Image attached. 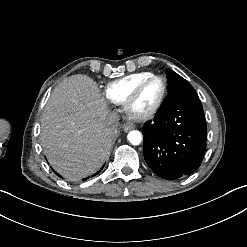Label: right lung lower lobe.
<instances>
[{
  "label": "right lung lower lobe",
  "instance_id": "right-lung-lower-lobe-1",
  "mask_svg": "<svg viewBox=\"0 0 247 247\" xmlns=\"http://www.w3.org/2000/svg\"><path fill=\"white\" fill-rule=\"evenodd\" d=\"M55 172V171H54ZM56 173V172H55ZM99 172H97L96 174H98ZM59 177H61L58 173H56ZM86 179H88V177L87 178H84L83 179V181H85Z\"/></svg>",
  "mask_w": 247,
  "mask_h": 247
}]
</instances>
